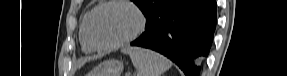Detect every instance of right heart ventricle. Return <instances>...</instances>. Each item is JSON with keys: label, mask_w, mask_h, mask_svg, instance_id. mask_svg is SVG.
Wrapping results in <instances>:
<instances>
[{"label": "right heart ventricle", "mask_w": 287, "mask_h": 76, "mask_svg": "<svg viewBox=\"0 0 287 76\" xmlns=\"http://www.w3.org/2000/svg\"><path fill=\"white\" fill-rule=\"evenodd\" d=\"M86 19V18H85ZM85 19L83 20L80 27V42L82 50L86 53H93L96 51V48L89 42L86 32H85Z\"/></svg>", "instance_id": "obj_1"}]
</instances>
